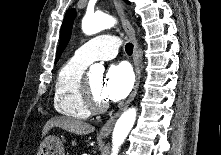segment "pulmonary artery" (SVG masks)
<instances>
[{"label":"pulmonary artery","instance_id":"1","mask_svg":"<svg viewBox=\"0 0 221 155\" xmlns=\"http://www.w3.org/2000/svg\"><path fill=\"white\" fill-rule=\"evenodd\" d=\"M119 40L113 35L97 36L81 47L75 53L74 58L86 64L94 60H110L118 53Z\"/></svg>","mask_w":221,"mask_h":155}]
</instances>
